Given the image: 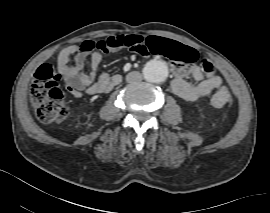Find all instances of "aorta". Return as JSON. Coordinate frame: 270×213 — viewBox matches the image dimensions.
I'll return each instance as SVG.
<instances>
[{
    "label": "aorta",
    "mask_w": 270,
    "mask_h": 213,
    "mask_svg": "<svg viewBox=\"0 0 270 213\" xmlns=\"http://www.w3.org/2000/svg\"><path fill=\"white\" fill-rule=\"evenodd\" d=\"M143 74L148 82L161 83L168 75V68L164 62L153 60L145 65Z\"/></svg>",
    "instance_id": "obj_1"
}]
</instances>
